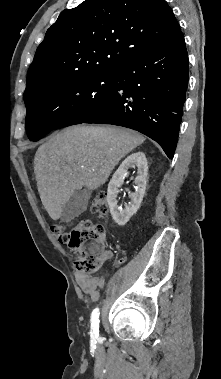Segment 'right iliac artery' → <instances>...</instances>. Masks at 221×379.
Instances as JSON below:
<instances>
[{"instance_id":"right-iliac-artery-1","label":"right iliac artery","mask_w":221,"mask_h":379,"mask_svg":"<svg viewBox=\"0 0 221 379\" xmlns=\"http://www.w3.org/2000/svg\"><path fill=\"white\" fill-rule=\"evenodd\" d=\"M99 308H95L91 314V335L98 336L99 330Z\"/></svg>"}]
</instances>
